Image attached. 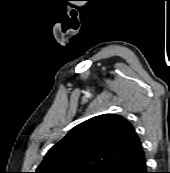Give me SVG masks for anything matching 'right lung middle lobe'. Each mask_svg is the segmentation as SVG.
<instances>
[{
  "label": "right lung middle lobe",
  "instance_id": "1",
  "mask_svg": "<svg viewBox=\"0 0 170 173\" xmlns=\"http://www.w3.org/2000/svg\"><path fill=\"white\" fill-rule=\"evenodd\" d=\"M71 173H102V171H72Z\"/></svg>",
  "mask_w": 170,
  "mask_h": 173
}]
</instances>
